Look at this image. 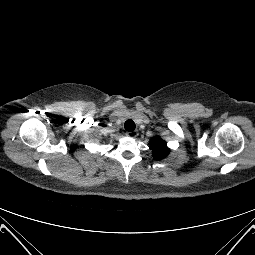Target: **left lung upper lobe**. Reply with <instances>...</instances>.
<instances>
[{"mask_svg": "<svg viewBox=\"0 0 255 255\" xmlns=\"http://www.w3.org/2000/svg\"><path fill=\"white\" fill-rule=\"evenodd\" d=\"M150 148L153 150V158L156 160H161L169 154L166 142L158 136L150 140Z\"/></svg>", "mask_w": 255, "mask_h": 255, "instance_id": "1", "label": "left lung upper lobe"}]
</instances>
